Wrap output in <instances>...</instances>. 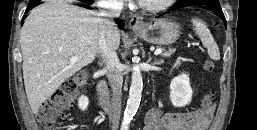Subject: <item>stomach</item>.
Masks as SVG:
<instances>
[{"label":"stomach","instance_id":"obj_1","mask_svg":"<svg viewBox=\"0 0 257 130\" xmlns=\"http://www.w3.org/2000/svg\"><path fill=\"white\" fill-rule=\"evenodd\" d=\"M180 25L171 19H156L134 31L146 42L157 45L174 43L180 36Z\"/></svg>","mask_w":257,"mask_h":130}]
</instances>
